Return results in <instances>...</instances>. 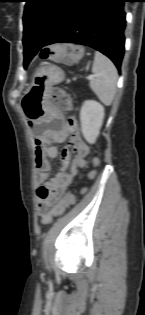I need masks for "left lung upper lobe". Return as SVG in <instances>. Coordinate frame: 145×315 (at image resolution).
I'll return each instance as SVG.
<instances>
[{"mask_svg": "<svg viewBox=\"0 0 145 315\" xmlns=\"http://www.w3.org/2000/svg\"><path fill=\"white\" fill-rule=\"evenodd\" d=\"M73 1L26 0L23 15L24 35H36L42 42L47 40L56 30ZM27 65L28 63H25L24 67Z\"/></svg>", "mask_w": 145, "mask_h": 315, "instance_id": "left-lung-upper-lobe-1", "label": "left lung upper lobe"}]
</instances>
